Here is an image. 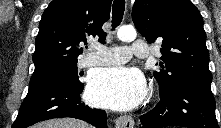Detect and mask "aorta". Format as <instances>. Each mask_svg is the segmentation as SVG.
<instances>
[{"instance_id":"aorta-1","label":"aorta","mask_w":221,"mask_h":128,"mask_svg":"<svg viewBox=\"0 0 221 128\" xmlns=\"http://www.w3.org/2000/svg\"><path fill=\"white\" fill-rule=\"evenodd\" d=\"M117 36L123 42H131L136 39L137 33L133 27L122 26L117 30Z\"/></svg>"}]
</instances>
